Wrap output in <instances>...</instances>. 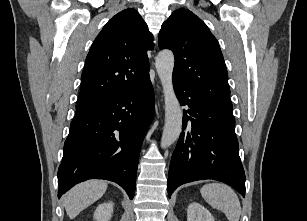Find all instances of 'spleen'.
Masks as SVG:
<instances>
[{
	"label": "spleen",
	"mask_w": 307,
	"mask_h": 221,
	"mask_svg": "<svg viewBox=\"0 0 307 221\" xmlns=\"http://www.w3.org/2000/svg\"><path fill=\"white\" fill-rule=\"evenodd\" d=\"M200 192L204 200L213 208L221 210L229 221H239L241 205L231 187L214 182L204 185Z\"/></svg>",
	"instance_id": "obj_1"
}]
</instances>
